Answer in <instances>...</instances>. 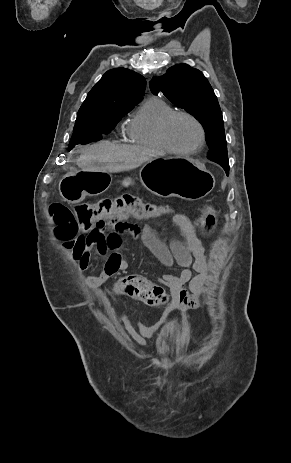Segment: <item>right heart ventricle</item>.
<instances>
[{"instance_id":"obj_1","label":"right heart ventricle","mask_w":291,"mask_h":463,"mask_svg":"<svg viewBox=\"0 0 291 463\" xmlns=\"http://www.w3.org/2000/svg\"><path fill=\"white\" fill-rule=\"evenodd\" d=\"M173 112L175 109L161 98L146 99L127 125L128 140L137 145L166 151L160 139L159 128L164 118Z\"/></svg>"}]
</instances>
